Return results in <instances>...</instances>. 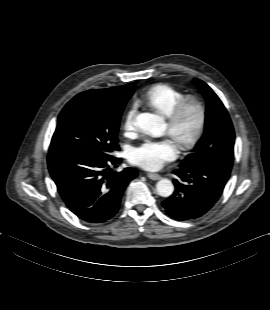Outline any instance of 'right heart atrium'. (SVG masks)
Returning <instances> with one entry per match:
<instances>
[{
  "label": "right heart atrium",
  "mask_w": 270,
  "mask_h": 310,
  "mask_svg": "<svg viewBox=\"0 0 270 310\" xmlns=\"http://www.w3.org/2000/svg\"><path fill=\"white\" fill-rule=\"evenodd\" d=\"M138 105L136 102L132 103L126 111L123 120V128L126 132L132 133L136 129V117H137Z\"/></svg>",
  "instance_id": "obj_1"
}]
</instances>
